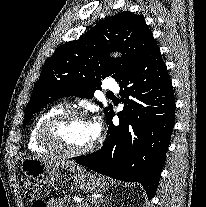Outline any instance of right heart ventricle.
Here are the masks:
<instances>
[{"instance_id":"1","label":"right heart ventricle","mask_w":206,"mask_h":207,"mask_svg":"<svg viewBox=\"0 0 206 207\" xmlns=\"http://www.w3.org/2000/svg\"><path fill=\"white\" fill-rule=\"evenodd\" d=\"M64 110V107L61 105H55L47 109L46 111L42 112L34 122L33 126L30 129L29 135H28V148L32 152H47L48 148L42 146L38 142V131L42 123L52 116L53 114Z\"/></svg>"}]
</instances>
